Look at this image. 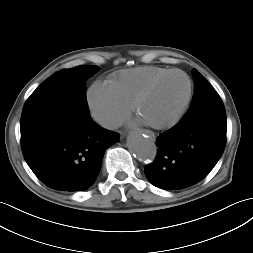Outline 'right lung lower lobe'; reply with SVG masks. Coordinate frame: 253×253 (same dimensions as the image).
Returning a JSON list of instances; mask_svg holds the SVG:
<instances>
[{
	"mask_svg": "<svg viewBox=\"0 0 253 253\" xmlns=\"http://www.w3.org/2000/svg\"><path fill=\"white\" fill-rule=\"evenodd\" d=\"M119 134L98 126L90 114L59 109L21 124L23 156L48 187L84 191L99 175L106 149Z\"/></svg>",
	"mask_w": 253,
	"mask_h": 253,
	"instance_id": "obj_1",
	"label": "right lung lower lobe"
}]
</instances>
